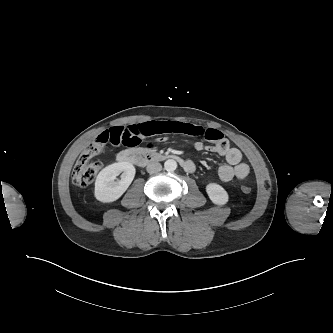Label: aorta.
I'll use <instances>...</instances> for the list:
<instances>
[{
  "label": "aorta",
  "instance_id": "obj_1",
  "mask_svg": "<svg viewBox=\"0 0 333 333\" xmlns=\"http://www.w3.org/2000/svg\"><path fill=\"white\" fill-rule=\"evenodd\" d=\"M164 168L166 171H175L177 168V162L174 159H168L164 163Z\"/></svg>",
  "mask_w": 333,
  "mask_h": 333
}]
</instances>
